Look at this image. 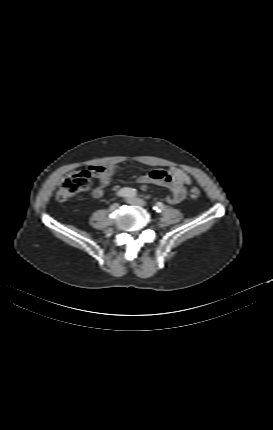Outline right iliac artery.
<instances>
[{
	"label": "right iliac artery",
	"mask_w": 273,
	"mask_h": 430,
	"mask_svg": "<svg viewBox=\"0 0 273 430\" xmlns=\"http://www.w3.org/2000/svg\"><path fill=\"white\" fill-rule=\"evenodd\" d=\"M116 195L118 197H122V198H133L136 196V190L133 188H129V187H124L122 189H120Z\"/></svg>",
	"instance_id": "1"
}]
</instances>
